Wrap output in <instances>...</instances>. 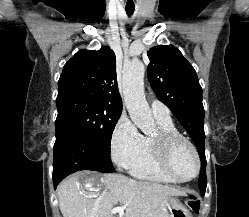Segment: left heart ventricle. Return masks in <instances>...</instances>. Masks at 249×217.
Here are the masks:
<instances>
[{"label":"left heart ventricle","mask_w":249,"mask_h":217,"mask_svg":"<svg viewBox=\"0 0 249 217\" xmlns=\"http://www.w3.org/2000/svg\"><path fill=\"white\" fill-rule=\"evenodd\" d=\"M174 171L183 178L191 177L196 170V161L191 149L184 143L178 144L171 159Z\"/></svg>","instance_id":"b2bd125f"}]
</instances>
